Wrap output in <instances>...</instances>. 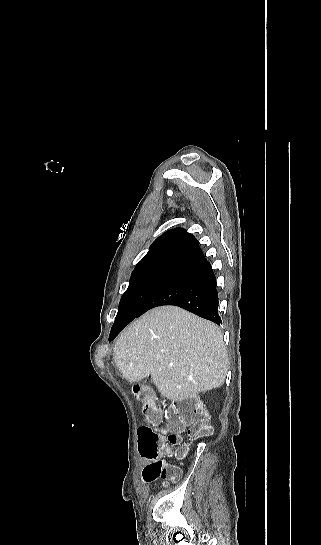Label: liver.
I'll return each instance as SVG.
<instances>
[{"label": "liver", "mask_w": 321, "mask_h": 545, "mask_svg": "<svg viewBox=\"0 0 321 545\" xmlns=\"http://www.w3.org/2000/svg\"><path fill=\"white\" fill-rule=\"evenodd\" d=\"M113 359L129 383L151 377L171 401L218 389L229 369L219 327L179 307H156L133 321L118 337Z\"/></svg>", "instance_id": "6515ba94"}]
</instances>
